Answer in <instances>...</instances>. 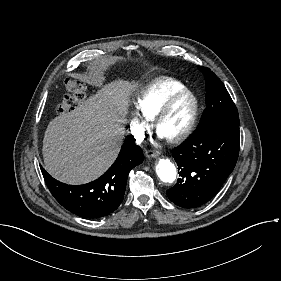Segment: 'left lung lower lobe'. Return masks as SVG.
<instances>
[{"mask_svg":"<svg viewBox=\"0 0 281 281\" xmlns=\"http://www.w3.org/2000/svg\"><path fill=\"white\" fill-rule=\"evenodd\" d=\"M239 143V126L199 124L186 142L172 150L180 178L167 190L168 198L183 208L208 202L233 171Z\"/></svg>","mask_w":281,"mask_h":281,"instance_id":"left-lung-lower-lobe-1","label":"left lung lower lobe"}]
</instances>
